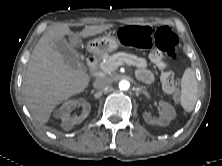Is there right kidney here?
<instances>
[{
	"mask_svg": "<svg viewBox=\"0 0 222 166\" xmlns=\"http://www.w3.org/2000/svg\"><path fill=\"white\" fill-rule=\"evenodd\" d=\"M76 106L82 107V112L79 116H70V111ZM91 105L85 99L69 100L65 102L56 112L55 116L61 118V127L65 130H70L75 124H80L89 115Z\"/></svg>",
	"mask_w": 222,
	"mask_h": 166,
	"instance_id": "ca27d5eb",
	"label": "right kidney"
}]
</instances>
